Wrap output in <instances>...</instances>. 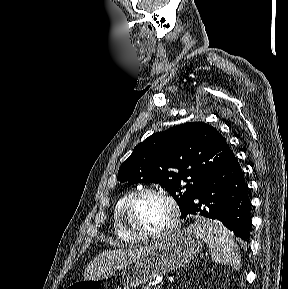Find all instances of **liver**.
Listing matches in <instances>:
<instances>
[{
	"mask_svg": "<svg viewBox=\"0 0 288 289\" xmlns=\"http://www.w3.org/2000/svg\"><path fill=\"white\" fill-rule=\"evenodd\" d=\"M144 250L145 248L104 251L88 264L83 276L86 279H91L98 277L105 272L112 271L117 267L127 265L138 259L143 254Z\"/></svg>",
	"mask_w": 288,
	"mask_h": 289,
	"instance_id": "1",
	"label": "liver"
}]
</instances>
